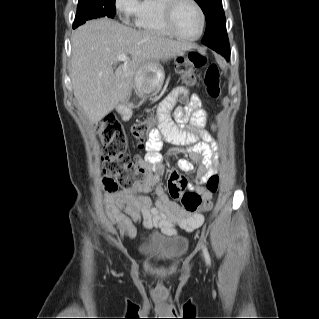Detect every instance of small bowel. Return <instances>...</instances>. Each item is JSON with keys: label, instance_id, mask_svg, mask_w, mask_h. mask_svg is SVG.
Masks as SVG:
<instances>
[{"label": "small bowel", "instance_id": "c3829d8e", "mask_svg": "<svg viewBox=\"0 0 319 319\" xmlns=\"http://www.w3.org/2000/svg\"><path fill=\"white\" fill-rule=\"evenodd\" d=\"M181 95H188V90L184 86L177 87L158 107V129L149 134L146 143L147 153L142 160L148 172L141 181L105 200L108 218L129 238H134L137 230L121 209L144 228L160 229L168 236L176 233L177 226L191 232L205 222L202 212L186 211L177 202L170 200L159 183L164 167L158 151L162 148L163 142L188 146L189 159H180L176 168L185 173H192L194 169L192 162L199 163L200 168L195 176V189L206 201L211 199L205 184L215 174V170L211 167L218 163L217 143L205 129L208 116L197 94L190 96L186 106L176 109V118L183 126L177 127L173 124L170 112ZM187 122L189 126L186 127L184 124ZM155 143L159 144L160 149L154 146ZM150 193L155 196L154 202L148 197Z\"/></svg>", "mask_w": 319, "mask_h": 319}]
</instances>
